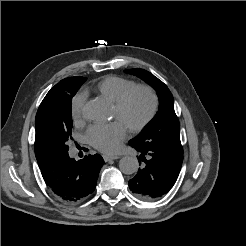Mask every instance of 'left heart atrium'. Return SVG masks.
Returning <instances> with one entry per match:
<instances>
[{
	"mask_svg": "<svg viewBox=\"0 0 246 246\" xmlns=\"http://www.w3.org/2000/svg\"><path fill=\"white\" fill-rule=\"evenodd\" d=\"M127 126L120 120L111 123H96L86 133L88 143L104 153H115L127 135Z\"/></svg>",
	"mask_w": 246,
	"mask_h": 246,
	"instance_id": "1",
	"label": "left heart atrium"
}]
</instances>
